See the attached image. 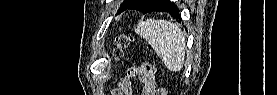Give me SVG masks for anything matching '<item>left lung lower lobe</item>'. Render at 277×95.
Instances as JSON below:
<instances>
[{"instance_id": "left-lung-lower-lobe-1", "label": "left lung lower lobe", "mask_w": 277, "mask_h": 95, "mask_svg": "<svg viewBox=\"0 0 277 95\" xmlns=\"http://www.w3.org/2000/svg\"><path fill=\"white\" fill-rule=\"evenodd\" d=\"M152 0H134L126 9H135L142 13L151 11L168 12L172 17L180 19L178 8L174 3L169 0H165L161 5L157 7H151Z\"/></svg>"}]
</instances>
